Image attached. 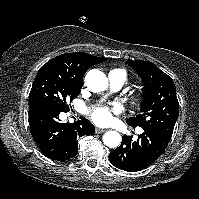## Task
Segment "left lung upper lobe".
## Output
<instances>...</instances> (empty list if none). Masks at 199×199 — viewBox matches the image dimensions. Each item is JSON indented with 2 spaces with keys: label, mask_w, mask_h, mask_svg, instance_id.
<instances>
[{
  "label": "left lung upper lobe",
  "mask_w": 199,
  "mask_h": 199,
  "mask_svg": "<svg viewBox=\"0 0 199 199\" xmlns=\"http://www.w3.org/2000/svg\"><path fill=\"white\" fill-rule=\"evenodd\" d=\"M127 63L141 77L145 89L141 113L129 118L127 123L132 127L140 126L172 137L179 114V103L172 78L149 61L136 60Z\"/></svg>",
  "instance_id": "obj_1"
}]
</instances>
